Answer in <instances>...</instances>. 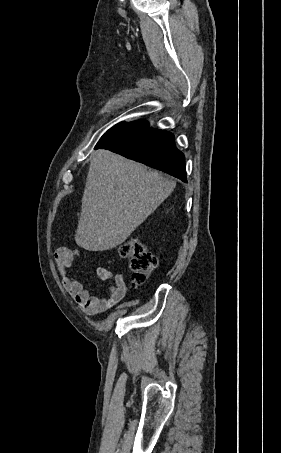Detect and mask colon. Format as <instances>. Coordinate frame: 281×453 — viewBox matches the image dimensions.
Listing matches in <instances>:
<instances>
[{"label":"colon","instance_id":"1","mask_svg":"<svg viewBox=\"0 0 281 453\" xmlns=\"http://www.w3.org/2000/svg\"><path fill=\"white\" fill-rule=\"evenodd\" d=\"M119 256L127 261L135 283L145 282L157 267V257L138 239H127L115 246Z\"/></svg>","mask_w":281,"mask_h":453}]
</instances>
